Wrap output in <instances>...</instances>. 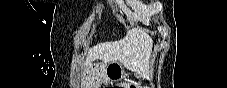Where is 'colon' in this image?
Returning a JSON list of instances; mask_svg holds the SVG:
<instances>
[{"label":"colon","instance_id":"colon-1","mask_svg":"<svg viewBox=\"0 0 227 88\" xmlns=\"http://www.w3.org/2000/svg\"><path fill=\"white\" fill-rule=\"evenodd\" d=\"M124 87H126V88H132L133 86L131 84H126Z\"/></svg>","mask_w":227,"mask_h":88}]
</instances>
